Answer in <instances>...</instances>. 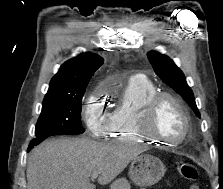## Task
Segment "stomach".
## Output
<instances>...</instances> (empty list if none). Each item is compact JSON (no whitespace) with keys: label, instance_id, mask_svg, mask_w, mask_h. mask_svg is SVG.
I'll use <instances>...</instances> for the list:
<instances>
[{"label":"stomach","instance_id":"1","mask_svg":"<svg viewBox=\"0 0 223 189\" xmlns=\"http://www.w3.org/2000/svg\"><path fill=\"white\" fill-rule=\"evenodd\" d=\"M165 171V166L159 158L141 154L131 161L129 177L136 185L150 186L158 182Z\"/></svg>","mask_w":223,"mask_h":189}]
</instances>
